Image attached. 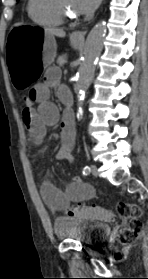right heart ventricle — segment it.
<instances>
[{"label": "right heart ventricle", "mask_w": 148, "mask_h": 279, "mask_svg": "<svg viewBox=\"0 0 148 279\" xmlns=\"http://www.w3.org/2000/svg\"><path fill=\"white\" fill-rule=\"evenodd\" d=\"M27 13L34 23L41 26H58L63 21L54 12L50 0H28Z\"/></svg>", "instance_id": "1"}]
</instances>
